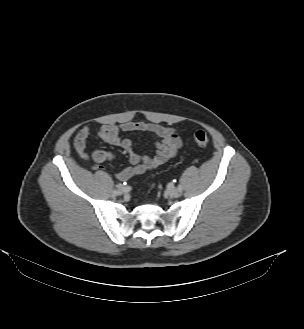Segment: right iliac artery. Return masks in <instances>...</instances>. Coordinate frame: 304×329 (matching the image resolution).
I'll list each match as a JSON object with an SVG mask.
<instances>
[{
	"label": "right iliac artery",
	"mask_w": 304,
	"mask_h": 329,
	"mask_svg": "<svg viewBox=\"0 0 304 329\" xmlns=\"http://www.w3.org/2000/svg\"><path fill=\"white\" fill-rule=\"evenodd\" d=\"M118 187V186H117ZM114 195H118V191L116 189L113 190Z\"/></svg>",
	"instance_id": "obj_1"
}]
</instances>
